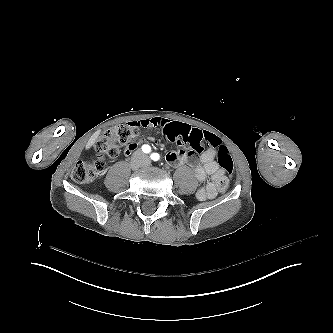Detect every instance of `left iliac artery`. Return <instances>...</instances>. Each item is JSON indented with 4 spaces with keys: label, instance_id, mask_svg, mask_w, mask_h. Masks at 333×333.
Returning a JSON list of instances; mask_svg holds the SVG:
<instances>
[{
    "label": "left iliac artery",
    "instance_id": "left-iliac-artery-1",
    "mask_svg": "<svg viewBox=\"0 0 333 333\" xmlns=\"http://www.w3.org/2000/svg\"><path fill=\"white\" fill-rule=\"evenodd\" d=\"M159 158H160V156H159L158 153H153V154L151 155V159L154 160V161L159 160Z\"/></svg>",
    "mask_w": 333,
    "mask_h": 333
}]
</instances>
